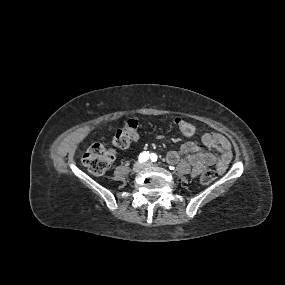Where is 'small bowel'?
I'll use <instances>...</instances> for the list:
<instances>
[{
	"label": "small bowel",
	"instance_id": "c3829d8e",
	"mask_svg": "<svg viewBox=\"0 0 285 285\" xmlns=\"http://www.w3.org/2000/svg\"><path fill=\"white\" fill-rule=\"evenodd\" d=\"M203 142L216 152H206L193 141L185 142L178 150L169 151L167 161L177 163L182 156L193 166V174H199L207 166L215 165L219 173H224L232 158L231 144L229 140L218 133H205Z\"/></svg>",
	"mask_w": 285,
	"mask_h": 285
}]
</instances>
